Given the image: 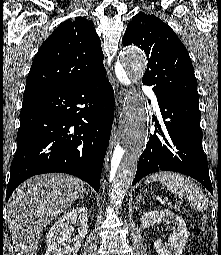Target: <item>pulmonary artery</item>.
<instances>
[{
	"label": "pulmonary artery",
	"instance_id": "pulmonary-artery-1",
	"mask_svg": "<svg viewBox=\"0 0 221 255\" xmlns=\"http://www.w3.org/2000/svg\"><path fill=\"white\" fill-rule=\"evenodd\" d=\"M142 90H143V92H144L145 94L149 95V96L152 98L153 105H154L156 108H158V101H157V99H156V96H155L154 92H152V91L150 90V88L147 87V86H143V87H142Z\"/></svg>",
	"mask_w": 221,
	"mask_h": 255
}]
</instances>
